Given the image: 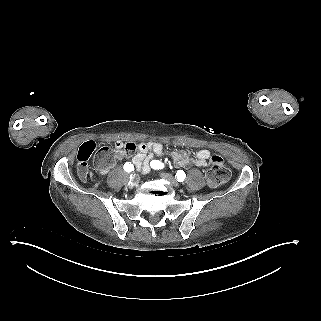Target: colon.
<instances>
[{
	"instance_id": "5ec220e1",
	"label": "colon",
	"mask_w": 321,
	"mask_h": 321,
	"mask_svg": "<svg viewBox=\"0 0 321 321\" xmlns=\"http://www.w3.org/2000/svg\"><path fill=\"white\" fill-rule=\"evenodd\" d=\"M124 147L127 151L134 152L137 149V144L134 142H128L124 145ZM97 158H99L102 162L105 161V159L100 154H97L96 159ZM77 169L80 177L87 178L88 164L85 155H82L79 158H77ZM229 175L230 173L228 168L226 167L224 159L218 154H213L210 157L209 165L206 170L207 182L211 186H219L228 180Z\"/></svg>"
}]
</instances>
